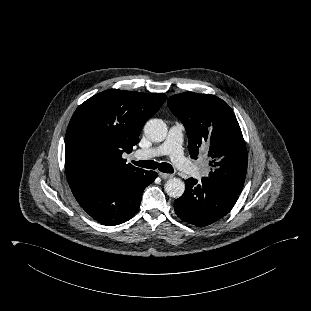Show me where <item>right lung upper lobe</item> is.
I'll list each match as a JSON object with an SVG mask.
<instances>
[{
	"label": "right lung upper lobe",
	"mask_w": 311,
	"mask_h": 311,
	"mask_svg": "<svg viewBox=\"0 0 311 311\" xmlns=\"http://www.w3.org/2000/svg\"><path fill=\"white\" fill-rule=\"evenodd\" d=\"M166 101L161 93L110 89L96 94L74 112L65 138L67 180L105 173L120 177L144 171L126 164L140 131Z\"/></svg>",
	"instance_id": "cb5924a9"
}]
</instances>
